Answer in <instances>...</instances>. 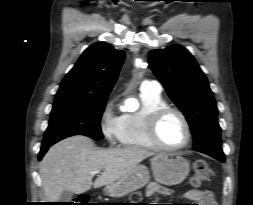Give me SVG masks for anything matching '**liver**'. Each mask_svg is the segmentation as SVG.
<instances>
[{"label": "liver", "instance_id": "1", "mask_svg": "<svg viewBox=\"0 0 253 205\" xmlns=\"http://www.w3.org/2000/svg\"><path fill=\"white\" fill-rule=\"evenodd\" d=\"M154 155L139 147L97 150L94 142L82 135L66 138L53 145L40 163L45 199L57 202L64 190L81 194L106 186L126 176L141 161ZM95 170L103 172L92 183Z\"/></svg>", "mask_w": 253, "mask_h": 205}]
</instances>
